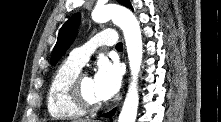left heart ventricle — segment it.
Returning <instances> with one entry per match:
<instances>
[{
  "label": "left heart ventricle",
  "mask_w": 221,
  "mask_h": 122,
  "mask_svg": "<svg viewBox=\"0 0 221 122\" xmlns=\"http://www.w3.org/2000/svg\"><path fill=\"white\" fill-rule=\"evenodd\" d=\"M82 89L85 94V96L91 100L92 102L99 103L102 102L95 93L94 88V80L90 76H84L82 79Z\"/></svg>",
  "instance_id": "left-heart-ventricle-1"
}]
</instances>
